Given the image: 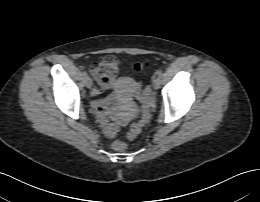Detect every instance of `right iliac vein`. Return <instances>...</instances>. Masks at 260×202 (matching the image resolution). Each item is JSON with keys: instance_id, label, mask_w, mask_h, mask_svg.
<instances>
[{"instance_id": "right-iliac-vein-1", "label": "right iliac vein", "mask_w": 260, "mask_h": 202, "mask_svg": "<svg viewBox=\"0 0 260 202\" xmlns=\"http://www.w3.org/2000/svg\"><path fill=\"white\" fill-rule=\"evenodd\" d=\"M84 82H85V85H86L87 88H91L92 80H91L90 77L86 76Z\"/></svg>"}]
</instances>
